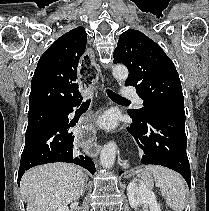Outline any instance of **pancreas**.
Wrapping results in <instances>:
<instances>
[{"label":"pancreas","mask_w":209,"mask_h":211,"mask_svg":"<svg viewBox=\"0 0 209 211\" xmlns=\"http://www.w3.org/2000/svg\"><path fill=\"white\" fill-rule=\"evenodd\" d=\"M147 184L152 187V182L151 181H148Z\"/></svg>","instance_id":"obj_1"}]
</instances>
